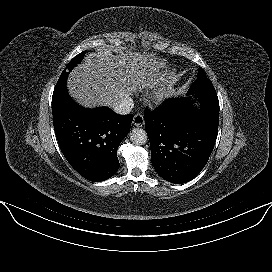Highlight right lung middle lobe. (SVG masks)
I'll use <instances>...</instances> for the list:
<instances>
[{
    "label": "right lung middle lobe",
    "instance_id": "dd1d6c3e",
    "mask_svg": "<svg viewBox=\"0 0 272 272\" xmlns=\"http://www.w3.org/2000/svg\"><path fill=\"white\" fill-rule=\"evenodd\" d=\"M85 55V51L81 52L80 54H78L76 57H74L67 65V67L63 70V72L60 75V78L55 86L53 95L58 94L59 92L63 91L64 89H66V81H67V76L69 74L68 71L72 70L73 67H75L77 64H79L81 62V60L83 59Z\"/></svg>",
    "mask_w": 272,
    "mask_h": 272
}]
</instances>
